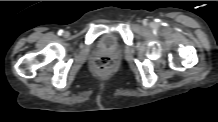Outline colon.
Masks as SVG:
<instances>
[{
	"instance_id": "colon-1",
	"label": "colon",
	"mask_w": 218,
	"mask_h": 122,
	"mask_svg": "<svg viewBox=\"0 0 218 122\" xmlns=\"http://www.w3.org/2000/svg\"><path fill=\"white\" fill-rule=\"evenodd\" d=\"M116 61L109 56H102L95 60L93 70L95 73L104 75L112 72L115 68Z\"/></svg>"
}]
</instances>
